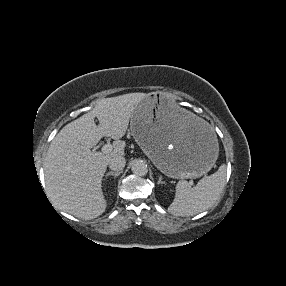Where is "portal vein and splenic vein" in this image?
Returning <instances> with one entry per match:
<instances>
[{"label":"portal vein and splenic vein","mask_w":286,"mask_h":286,"mask_svg":"<svg viewBox=\"0 0 286 286\" xmlns=\"http://www.w3.org/2000/svg\"><path fill=\"white\" fill-rule=\"evenodd\" d=\"M102 153L107 154L113 150V146L110 143L104 144L102 147Z\"/></svg>","instance_id":"18ae733b"}]
</instances>
